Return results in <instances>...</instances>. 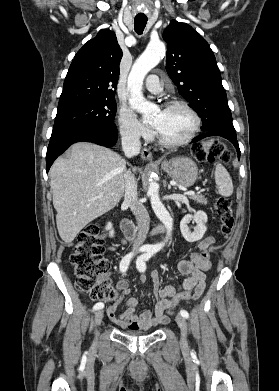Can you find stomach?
I'll list each match as a JSON object with an SVG mask.
<instances>
[{
    "instance_id": "obj_1",
    "label": "stomach",
    "mask_w": 279,
    "mask_h": 391,
    "mask_svg": "<svg viewBox=\"0 0 279 391\" xmlns=\"http://www.w3.org/2000/svg\"><path fill=\"white\" fill-rule=\"evenodd\" d=\"M161 167L173 180L186 187L192 186L198 177L196 163L187 157L163 160Z\"/></svg>"
}]
</instances>
